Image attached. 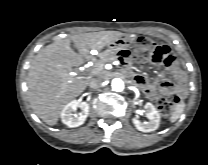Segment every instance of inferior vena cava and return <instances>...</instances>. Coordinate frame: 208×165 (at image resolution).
<instances>
[{
	"mask_svg": "<svg viewBox=\"0 0 208 165\" xmlns=\"http://www.w3.org/2000/svg\"><path fill=\"white\" fill-rule=\"evenodd\" d=\"M103 82H104L103 78L96 77L90 81L89 85H90V88L95 89V88L101 86L103 84Z\"/></svg>",
	"mask_w": 208,
	"mask_h": 165,
	"instance_id": "obj_1",
	"label": "inferior vena cava"
}]
</instances>
